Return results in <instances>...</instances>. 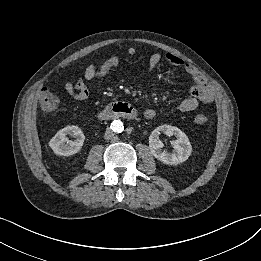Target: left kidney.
Returning a JSON list of instances; mask_svg holds the SVG:
<instances>
[{
    "instance_id": "left-kidney-1",
    "label": "left kidney",
    "mask_w": 261,
    "mask_h": 261,
    "mask_svg": "<svg viewBox=\"0 0 261 261\" xmlns=\"http://www.w3.org/2000/svg\"><path fill=\"white\" fill-rule=\"evenodd\" d=\"M164 133L167 136H176L173 142L172 152L162 150L163 143L159 140V134ZM149 149L151 154L167 165H177L186 161L192 152V146L187 135L179 128L171 125H161L157 127L149 136Z\"/></svg>"
}]
</instances>
